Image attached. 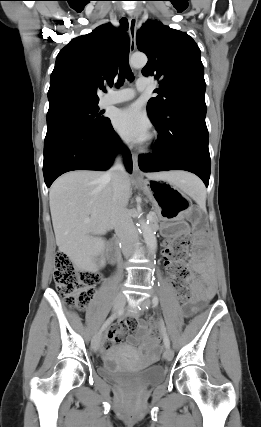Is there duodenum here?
Returning <instances> with one entry per match:
<instances>
[{"mask_svg":"<svg viewBox=\"0 0 261 427\" xmlns=\"http://www.w3.org/2000/svg\"><path fill=\"white\" fill-rule=\"evenodd\" d=\"M110 258H111V262H112V263H116V262H117V259H118V248H117V242H114V246H113V249H112V251H111V256H110Z\"/></svg>","mask_w":261,"mask_h":427,"instance_id":"1","label":"duodenum"}]
</instances>
